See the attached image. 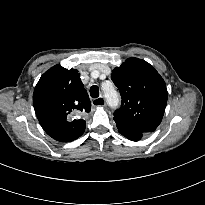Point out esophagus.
Listing matches in <instances>:
<instances>
[{"label":"esophagus","instance_id":"1","mask_svg":"<svg viewBox=\"0 0 205 205\" xmlns=\"http://www.w3.org/2000/svg\"><path fill=\"white\" fill-rule=\"evenodd\" d=\"M92 105L94 107H103L105 106V99L104 97L100 96L92 100Z\"/></svg>","mask_w":205,"mask_h":205}]
</instances>
